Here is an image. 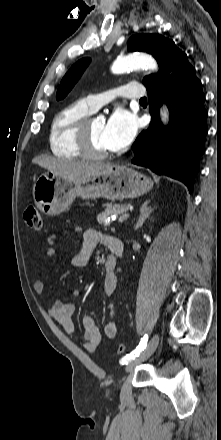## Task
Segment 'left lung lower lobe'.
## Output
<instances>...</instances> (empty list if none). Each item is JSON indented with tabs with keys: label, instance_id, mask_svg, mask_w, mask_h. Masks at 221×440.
Wrapping results in <instances>:
<instances>
[{
	"label": "left lung lower lobe",
	"instance_id": "left-lung-lower-lobe-1",
	"mask_svg": "<svg viewBox=\"0 0 221 440\" xmlns=\"http://www.w3.org/2000/svg\"><path fill=\"white\" fill-rule=\"evenodd\" d=\"M151 123L132 148L133 164L165 174L186 184L192 191L204 152L207 134L205 96L195 69L184 52L171 53L158 76L147 86ZM168 104L171 123L164 127L159 107Z\"/></svg>",
	"mask_w": 221,
	"mask_h": 440
}]
</instances>
